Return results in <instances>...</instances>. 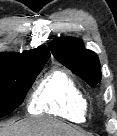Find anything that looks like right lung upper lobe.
Wrapping results in <instances>:
<instances>
[{"instance_id": "right-lung-upper-lobe-1", "label": "right lung upper lobe", "mask_w": 117, "mask_h": 136, "mask_svg": "<svg viewBox=\"0 0 117 136\" xmlns=\"http://www.w3.org/2000/svg\"><path fill=\"white\" fill-rule=\"evenodd\" d=\"M49 57V50L45 46H41L30 51H24L23 53H0V62L29 64L37 60L49 59Z\"/></svg>"}]
</instances>
